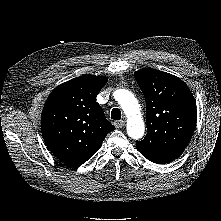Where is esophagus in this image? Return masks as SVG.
<instances>
[{"mask_svg": "<svg viewBox=\"0 0 221 221\" xmlns=\"http://www.w3.org/2000/svg\"><path fill=\"white\" fill-rule=\"evenodd\" d=\"M114 125L116 128H122L125 125V121L124 120L115 121Z\"/></svg>", "mask_w": 221, "mask_h": 221, "instance_id": "1", "label": "esophagus"}]
</instances>
